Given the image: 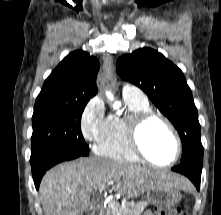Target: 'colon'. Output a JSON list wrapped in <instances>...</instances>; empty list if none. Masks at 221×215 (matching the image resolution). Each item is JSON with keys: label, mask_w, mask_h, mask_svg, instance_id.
I'll list each match as a JSON object with an SVG mask.
<instances>
[{"label": "colon", "mask_w": 221, "mask_h": 215, "mask_svg": "<svg viewBox=\"0 0 221 215\" xmlns=\"http://www.w3.org/2000/svg\"><path fill=\"white\" fill-rule=\"evenodd\" d=\"M157 215H186L180 208L158 209Z\"/></svg>", "instance_id": "colon-1"}]
</instances>
